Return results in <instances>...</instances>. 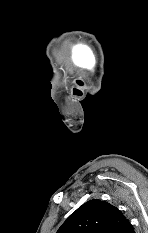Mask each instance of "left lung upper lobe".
<instances>
[{"label": "left lung upper lobe", "mask_w": 148, "mask_h": 233, "mask_svg": "<svg viewBox=\"0 0 148 233\" xmlns=\"http://www.w3.org/2000/svg\"><path fill=\"white\" fill-rule=\"evenodd\" d=\"M133 227L115 206L93 199L72 213L57 233H131Z\"/></svg>", "instance_id": "5c2ea615"}]
</instances>
